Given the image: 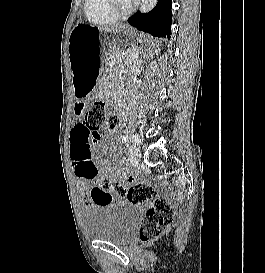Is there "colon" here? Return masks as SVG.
Instances as JSON below:
<instances>
[{"instance_id": "1", "label": "colon", "mask_w": 265, "mask_h": 273, "mask_svg": "<svg viewBox=\"0 0 265 273\" xmlns=\"http://www.w3.org/2000/svg\"><path fill=\"white\" fill-rule=\"evenodd\" d=\"M120 123L116 114H107L102 103H94L86 112L85 126L89 130V144L99 145L106 135L112 133ZM97 186H103V190H114L125 193L128 201L132 204L141 205L153 200L142 220L139 238L143 243H149L164 234L174 222L175 204L181 199L177 192L172 199L155 198L153 186L146 182H136L127 188L119 181L104 177ZM104 205V204H96Z\"/></svg>"}]
</instances>
